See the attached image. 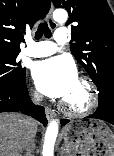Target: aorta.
I'll return each mask as SVG.
<instances>
[{"label": "aorta", "instance_id": "obj_1", "mask_svg": "<svg viewBox=\"0 0 114 156\" xmlns=\"http://www.w3.org/2000/svg\"><path fill=\"white\" fill-rule=\"evenodd\" d=\"M53 18L59 23L67 21L68 14L64 9H57L53 13ZM58 134V122L52 120L46 130L44 145H43V156H54V145Z\"/></svg>", "mask_w": 114, "mask_h": 156}]
</instances>
